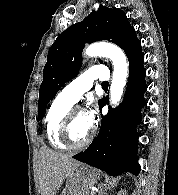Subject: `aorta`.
I'll return each instance as SVG.
<instances>
[{
	"mask_svg": "<svg viewBox=\"0 0 178 195\" xmlns=\"http://www.w3.org/2000/svg\"><path fill=\"white\" fill-rule=\"evenodd\" d=\"M88 57L103 56L109 58L114 66L110 86V103L115 107L121 100L128 76V62L124 52L114 44L98 42L85 49Z\"/></svg>",
	"mask_w": 178,
	"mask_h": 195,
	"instance_id": "aorta-1",
	"label": "aorta"
}]
</instances>
